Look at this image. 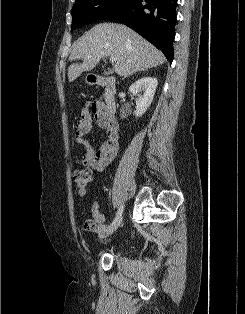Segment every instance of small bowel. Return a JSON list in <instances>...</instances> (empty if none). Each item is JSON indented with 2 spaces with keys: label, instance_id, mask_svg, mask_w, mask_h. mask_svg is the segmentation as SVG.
<instances>
[{
  "label": "small bowel",
  "instance_id": "c3829d8e",
  "mask_svg": "<svg viewBox=\"0 0 245 314\" xmlns=\"http://www.w3.org/2000/svg\"><path fill=\"white\" fill-rule=\"evenodd\" d=\"M92 116L98 126L106 131V138L97 150L85 139L91 128ZM118 137L117 123L105 114L103 103L98 100L88 102L81 111V119L74 135L75 142L85 149L82 161L94 171H102L118 153ZM93 214L97 227L90 233L103 235L106 230V217L98 212L97 205L93 209Z\"/></svg>",
  "mask_w": 245,
  "mask_h": 314
}]
</instances>
